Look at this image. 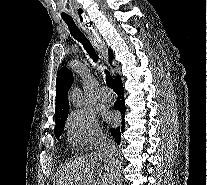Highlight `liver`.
Masks as SVG:
<instances>
[{"label":"liver","mask_w":207,"mask_h":185,"mask_svg":"<svg viewBox=\"0 0 207 185\" xmlns=\"http://www.w3.org/2000/svg\"><path fill=\"white\" fill-rule=\"evenodd\" d=\"M110 151H112V149H108L107 151V155H110ZM95 163H99V165H101V163H104V161H100V157L99 159H97V161H95ZM111 163V161H110ZM72 167H78V169H81V167H84L83 163H78V165H72ZM104 167H108V165H104ZM108 171V169H107ZM107 177H110V173H106ZM88 177H86V183H88L87 181ZM102 179H105V177H102ZM74 183H77V181H74ZM78 183H81V181H78ZM106 183V181H105Z\"/></svg>","instance_id":"1"}]
</instances>
